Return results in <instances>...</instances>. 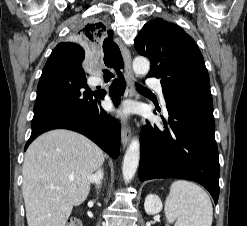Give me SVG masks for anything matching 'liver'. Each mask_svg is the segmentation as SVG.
<instances>
[{
  "label": "liver",
  "mask_w": 247,
  "mask_h": 226,
  "mask_svg": "<svg viewBox=\"0 0 247 226\" xmlns=\"http://www.w3.org/2000/svg\"><path fill=\"white\" fill-rule=\"evenodd\" d=\"M103 161L102 150L73 131L57 129L33 141L23 163L28 226H65L73 206L87 198Z\"/></svg>",
  "instance_id": "obj_1"
}]
</instances>
